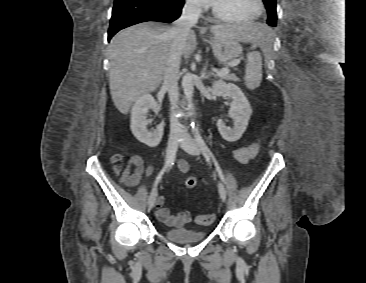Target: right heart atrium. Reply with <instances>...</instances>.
<instances>
[{"mask_svg": "<svg viewBox=\"0 0 366 283\" xmlns=\"http://www.w3.org/2000/svg\"><path fill=\"white\" fill-rule=\"evenodd\" d=\"M187 7L194 11V12H200L204 6L202 0H186Z\"/></svg>", "mask_w": 366, "mask_h": 283, "instance_id": "obj_1", "label": "right heart atrium"}]
</instances>
